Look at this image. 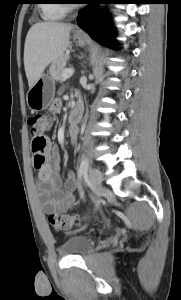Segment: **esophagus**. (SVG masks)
Instances as JSON below:
<instances>
[{"label":"esophagus","instance_id":"1","mask_svg":"<svg viewBox=\"0 0 181 300\" xmlns=\"http://www.w3.org/2000/svg\"><path fill=\"white\" fill-rule=\"evenodd\" d=\"M76 32L81 33V31L79 29H77Z\"/></svg>","mask_w":181,"mask_h":300}]
</instances>
